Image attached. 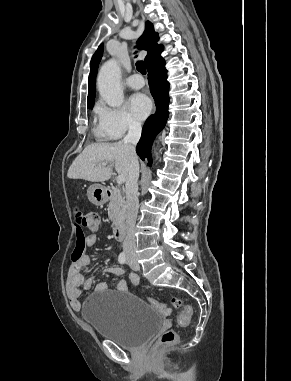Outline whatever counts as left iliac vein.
Returning <instances> with one entry per match:
<instances>
[{"label": "left iliac vein", "mask_w": 291, "mask_h": 381, "mask_svg": "<svg viewBox=\"0 0 291 381\" xmlns=\"http://www.w3.org/2000/svg\"><path fill=\"white\" fill-rule=\"evenodd\" d=\"M128 264L134 271L140 270V265L134 257L128 256Z\"/></svg>", "instance_id": "obj_1"}]
</instances>
